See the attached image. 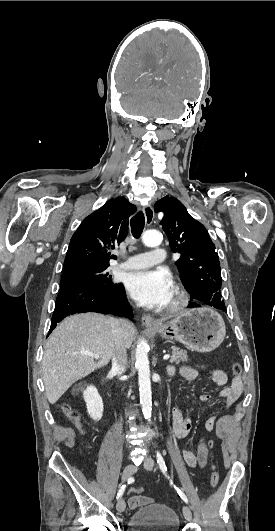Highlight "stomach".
Wrapping results in <instances>:
<instances>
[{
    "instance_id": "stomach-1",
    "label": "stomach",
    "mask_w": 275,
    "mask_h": 531,
    "mask_svg": "<svg viewBox=\"0 0 275 531\" xmlns=\"http://www.w3.org/2000/svg\"><path fill=\"white\" fill-rule=\"evenodd\" d=\"M159 329H154L162 339L179 341L197 353H210L217 349L226 335L225 323L216 311L201 307L179 313L174 319L158 321Z\"/></svg>"
}]
</instances>
